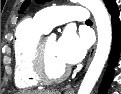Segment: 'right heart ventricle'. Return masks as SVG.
Returning a JSON list of instances; mask_svg holds the SVG:
<instances>
[{
  "mask_svg": "<svg viewBox=\"0 0 121 94\" xmlns=\"http://www.w3.org/2000/svg\"><path fill=\"white\" fill-rule=\"evenodd\" d=\"M47 31L36 19L24 20L18 26L13 47L15 84L18 88L27 90L40 85L33 71V57L37 42Z\"/></svg>",
  "mask_w": 121,
  "mask_h": 94,
  "instance_id": "e07e8e85",
  "label": "right heart ventricle"
}]
</instances>
